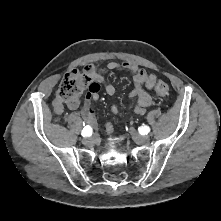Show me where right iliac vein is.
<instances>
[{
    "instance_id": "obj_1",
    "label": "right iliac vein",
    "mask_w": 221,
    "mask_h": 221,
    "mask_svg": "<svg viewBox=\"0 0 221 221\" xmlns=\"http://www.w3.org/2000/svg\"><path fill=\"white\" fill-rule=\"evenodd\" d=\"M94 143H95L94 137L83 139V144L86 145V146L93 145Z\"/></svg>"
}]
</instances>
